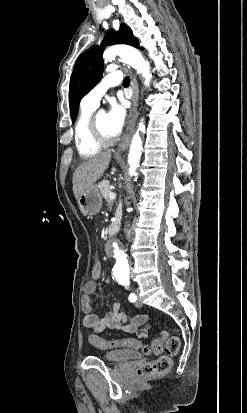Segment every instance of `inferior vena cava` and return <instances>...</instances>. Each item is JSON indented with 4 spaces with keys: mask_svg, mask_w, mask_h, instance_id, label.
I'll use <instances>...</instances> for the list:
<instances>
[{
    "mask_svg": "<svg viewBox=\"0 0 247 413\" xmlns=\"http://www.w3.org/2000/svg\"><path fill=\"white\" fill-rule=\"evenodd\" d=\"M125 233H126L127 237H128V235H130V231H129V229H127V227L125 229Z\"/></svg>",
    "mask_w": 247,
    "mask_h": 413,
    "instance_id": "obj_1",
    "label": "inferior vena cava"
}]
</instances>
